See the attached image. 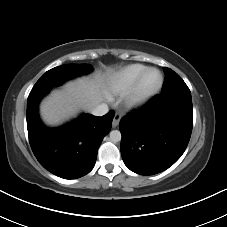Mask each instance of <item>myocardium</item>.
Instances as JSON below:
<instances>
[{
    "label": "myocardium",
    "mask_w": 227,
    "mask_h": 227,
    "mask_svg": "<svg viewBox=\"0 0 227 227\" xmlns=\"http://www.w3.org/2000/svg\"><path fill=\"white\" fill-rule=\"evenodd\" d=\"M156 71L159 74L158 84L149 91L142 90V82L147 73ZM164 84L163 73L155 67H147L137 78L133 87L125 96V105L130 109H138L152 100L162 89Z\"/></svg>",
    "instance_id": "obj_1"
}]
</instances>
